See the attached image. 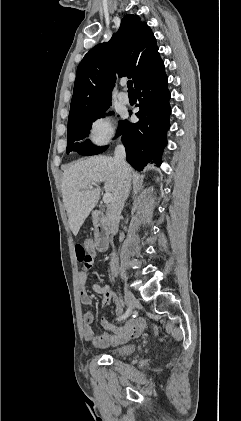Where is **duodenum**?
<instances>
[{"label":"duodenum","instance_id":"obj_1","mask_svg":"<svg viewBox=\"0 0 241 421\" xmlns=\"http://www.w3.org/2000/svg\"><path fill=\"white\" fill-rule=\"evenodd\" d=\"M94 224V239L98 251L103 252L107 249L110 231L107 226L105 214L102 211L95 210L91 213Z\"/></svg>","mask_w":241,"mask_h":421}]
</instances>
